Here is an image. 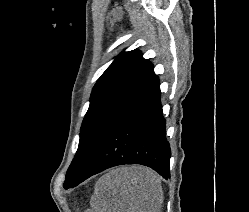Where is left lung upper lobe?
I'll return each mask as SVG.
<instances>
[{"instance_id":"obj_1","label":"left lung upper lobe","mask_w":249,"mask_h":212,"mask_svg":"<svg viewBox=\"0 0 249 212\" xmlns=\"http://www.w3.org/2000/svg\"><path fill=\"white\" fill-rule=\"evenodd\" d=\"M155 77L153 65L137 49L120 53L105 70L93 87L78 150L63 186L78 179L112 126Z\"/></svg>"}]
</instances>
